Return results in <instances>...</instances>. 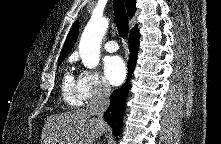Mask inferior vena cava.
<instances>
[{
	"mask_svg": "<svg viewBox=\"0 0 221 144\" xmlns=\"http://www.w3.org/2000/svg\"><path fill=\"white\" fill-rule=\"evenodd\" d=\"M111 87L107 83L101 84L87 105L88 111L96 115L98 121L103 122V115L107 110L110 102Z\"/></svg>",
	"mask_w": 221,
	"mask_h": 144,
	"instance_id": "inferior-vena-cava-1",
	"label": "inferior vena cava"
}]
</instances>
